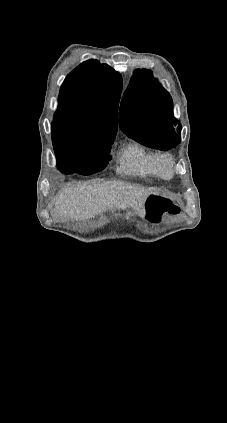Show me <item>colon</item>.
Returning <instances> with one entry per match:
<instances>
[{"instance_id": "5ec220e1", "label": "colon", "mask_w": 227, "mask_h": 423, "mask_svg": "<svg viewBox=\"0 0 227 423\" xmlns=\"http://www.w3.org/2000/svg\"><path fill=\"white\" fill-rule=\"evenodd\" d=\"M146 210L151 220H157L163 213H176L178 209L163 194L153 193L147 200Z\"/></svg>"}]
</instances>
